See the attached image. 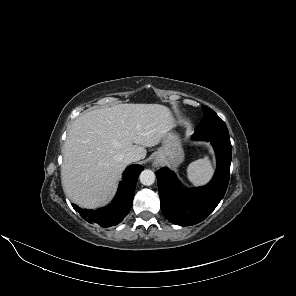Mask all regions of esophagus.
Here are the masks:
<instances>
[{"label": "esophagus", "mask_w": 296, "mask_h": 296, "mask_svg": "<svg viewBox=\"0 0 296 296\" xmlns=\"http://www.w3.org/2000/svg\"><path fill=\"white\" fill-rule=\"evenodd\" d=\"M154 166H155V167H157V166H158V164L155 162V163H154Z\"/></svg>", "instance_id": "esophagus-1"}]
</instances>
